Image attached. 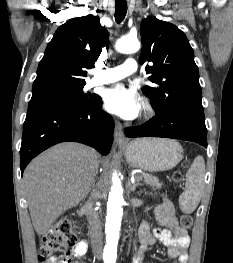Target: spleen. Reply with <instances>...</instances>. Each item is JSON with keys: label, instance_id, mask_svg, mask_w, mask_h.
Returning a JSON list of instances; mask_svg holds the SVG:
<instances>
[{"label": "spleen", "instance_id": "1", "mask_svg": "<svg viewBox=\"0 0 233 263\" xmlns=\"http://www.w3.org/2000/svg\"><path fill=\"white\" fill-rule=\"evenodd\" d=\"M204 176V159L202 156H197L187 171L185 190L179 196V205L184 213L190 214L198 206L204 186Z\"/></svg>", "mask_w": 233, "mask_h": 263}]
</instances>
